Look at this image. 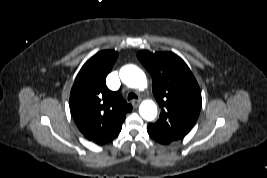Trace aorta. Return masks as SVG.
I'll list each match as a JSON object with an SVG mask.
<instances>
[{"mask_svg":"<svg viewBox=\"0 0 267 178\" xmlns=\"http://www.w3.org/2000/svg\"><path fill=\"white\" fill-rule=\"evenodd\" d=\"M120 78L128 87L143 90L147 86L145 73L135 65H125L120 70ZM141 117L152 121L157 116V106L151 100L143 101L139 107Z\"/></svg>","mask_w":267,"mask_h":178,"instance_id":"aorta-1","label":"aorta"}]
</instances>
